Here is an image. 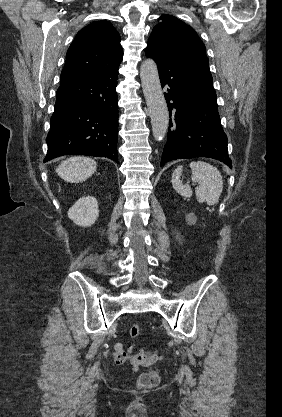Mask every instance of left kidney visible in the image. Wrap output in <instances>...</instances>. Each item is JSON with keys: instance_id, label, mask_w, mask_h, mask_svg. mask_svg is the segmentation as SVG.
Segmentation results:
<instances>
[{"instance_id": "1", "label": "left kidney", "mask_w": 282, "mask_h": 417, "mask_svg": "<svg viewBox=\"0 0 282 417\" xmlns=\"http://www.w3.org/2000/svg\"><path fill=\"white\" fill-rule=\"evenodd\" d=\"M185 219L188 225H195V223H197V217L194 213H189V215H186Z\"/></svg>"}]
</instances>
